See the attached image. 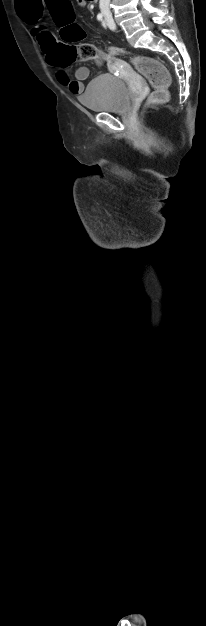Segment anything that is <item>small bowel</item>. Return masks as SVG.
Listing matches in <instances>:
<instances>
[{"mask_svg":"<svg viewBox=\"0 0 206 626\" xmlns=\"http://www.w3.org/2000/svg\"><path fill=\"white\" fill-rule=\"evenodd\" d=\"M77 5L81 8L86 7V0H76ZM35 24V23H31ZM32 34L36 38L42 52L45 54L47 61L55 65L53 62L54 50L58 45L56 40L47 32L46 28L41 24H35L32 29ZM113 65L117 67H123V63L114 59ZM59 82L68 87L72 94L79 95L84 91L83 81L89 76V69L87 67H79L73 77H71L66 71L59 70L56 74Z\"/></svg>","mask_w":206,"mask_h":626,"instance_id":"obj_1","label":"small bowel"}]
</instances>
